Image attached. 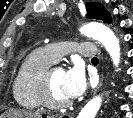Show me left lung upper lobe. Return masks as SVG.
Returning a JSON list of instances; mask_svg holds the SVG:
<instances>
[{
    "label": "left lung upper lobe",
    "instance_id": "5c2ea615",
    "mask_svg": "<svg viewBox=\"0 0 133 118\" xmlns=\"http://www.w3.org/2000/svg\"><path fill=\"white\" fill-rule=\"evenodd\" d=\"M86 16L91 19L102 20L107 23H111V16L107 10L99 3L90 2L86 3Z\"/></svg>",
    "mask_w": 133,
    "mask_h": 118
}]
</instances>
